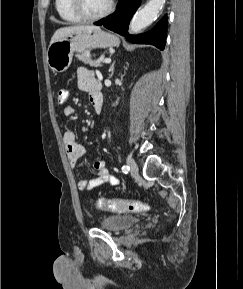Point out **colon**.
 <instances>
[{
  "instance_id": "1",
  "label": "colon",
  "mask_w": 243,
  "mask_h": 289,
  "mask_svg": "<svg viewBox=\"0 0 243 289\" xmlns=\"http://www.w3.org/2000/svg\"><path fill=\"white\" fill-rule=\"evenodd\" d=\"M68 90L61 88L56 93V103L63 105L68 99ZM102 210L118 213H143L149 210V205L137 200L105 199L101 198L96 203Z\"/></svg>"
}]
</instances>
